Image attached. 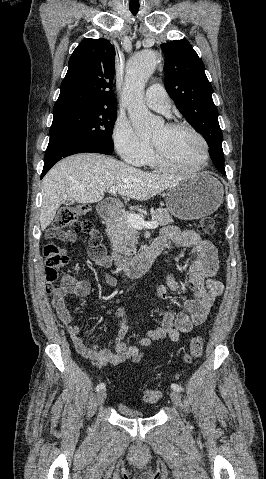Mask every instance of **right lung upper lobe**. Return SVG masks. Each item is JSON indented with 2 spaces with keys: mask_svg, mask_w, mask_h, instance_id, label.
I'll return each instance as SVG.
<instances>
[{
  "mask_svg": "<svg viewBox=\"0 0 266 479\" xmlns=\"http://www.w3.org/2000/svg\"><path fill=\"white\" fill-rule=\"evenodd\" d=\"M115 49L106 39L86 38L72 53L53 113L116 109L112 90Z\"/></svg>",
  "mask_w": 266,
  "mask_h": 479,
  "instance_id": "1",
  "label": "right lung upper lobe"
}]
</instances>
